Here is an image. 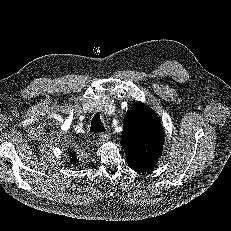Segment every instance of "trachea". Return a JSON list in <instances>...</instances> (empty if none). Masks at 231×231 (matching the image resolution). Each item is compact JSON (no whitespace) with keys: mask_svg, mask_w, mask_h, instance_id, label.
I'll use <instances>...</instances> for the list:
<instances>
[{"mask_svg":"<svg viewBox=\"0 0 231 231\" xmlns=\"http://www.w3.org/2000/svg\"><path fill=\"white\" fill-rule=\"evenodd\" d=\"M105 131V127L101 122L99 114H96L91 121L90 132L102 133Z\"/></svg>","mask_w":231,"mask_h":231,"instance_id":"trachea-1","label":"trachea"}]
</instances>
